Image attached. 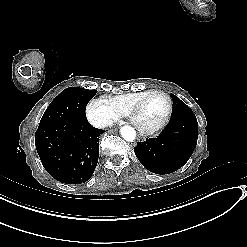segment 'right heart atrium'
<instances>
[{
  "label": "right heart atrium",
  "mask_w": 247,
  "mask_h": 247,
  "mask_svg": "<svg viewBox=\"0 0 247 247\" xmlns=\"http://www.w3.org/2000/svg\"><path fill=\"white\" fill-rule=\"evenodd\" d=\"M86 116L96 127H106L113 122L114 107L104 98H92L86 106Z\"/></svg>",
  "instance_id": "right-heart-atrium-1"
}]
</instances>
